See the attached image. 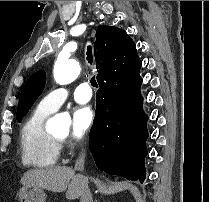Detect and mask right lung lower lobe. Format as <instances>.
Segmentation results:
<instances>
[{
  "mask_svg": "<svg viewBox=\"0 0 209 202\" xmlns=\"http://www.w3.org/2000/svg\"><path fill=\"white\" fill-rule=\"evenodd\" d=\"M141 82L138 76L114 89L100 86L89 140L99 170L143 183L148 117L142 111Z\"/></svg>",
  "mask_w": 209,
  "mask_h": 202,
  "instance_id": "obj_1",
  "label": "right lung lower lobe"
}]
</instances>
